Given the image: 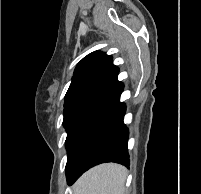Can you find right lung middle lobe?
Here are the masks:
<instances>
[{
	"mask_svg": "<svg viewBox=\"0 0 201 194\" xmlns=\"http://www.w3.org/2000/svg\"><path fill=\"white\" fill-rule=\"evenodd\" d=\"M89 103V101H77L64 105L63 125L68 131L78 113Z\"/></svg>",
	"mask_w": 201,
	"mask_h": 194,
	"instance_id": "dd1d6c3e",
	"label": "right lung middle lobe"
}]
</instances>
